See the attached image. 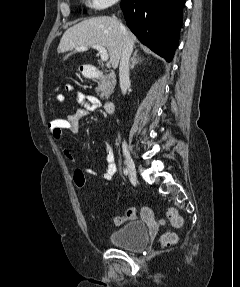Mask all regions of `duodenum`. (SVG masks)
I'll return each mask as SVG.
<instances>
[{"label":"duodenum","mask_w":240,"mask_h":287,"mask_svg":"<svg viewBox=\"0 0 240 287\" xmlns=\"http://www.w3.org/2000/svg\"><path fill=\"white\" fill-rule=\"evenodd\" d=\"M83 72L85 77L88 79L97 78L101 74L100 69L91 64H85L83 66ZM104 109L107 113H113L115 109V102L111 100L106 101L104 104Z\"/></svg>","instance_id":"obj_1"}]
</instances>
